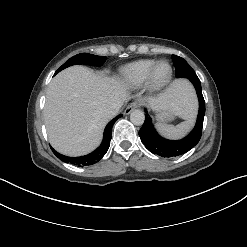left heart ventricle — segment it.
<instances>
[{"label": "left heart ventricle", "instance_id": "1", "mask_svg": "<svg viewBox=\"0 0 247 247\" xmlns=\"http://www.w3.org/2000/svg\"><path fill=\"white\" fill-rule=\"evenodd\" d=\"M169 68L167 64H162L157 70V78L163 79L167 76Z\"/></svg>", "mask_w": 247, "mask_h": 247}]
</instances>
